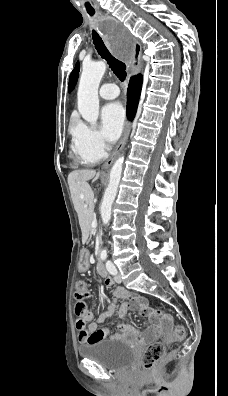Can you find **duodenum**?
I'll list each match as a JSON object with an SVG mask.
<instances>
[{
  "label": "duodenum",
  "mask_w": 228,
  "mask_h": 396,
  "mask_svg": "<svg viewBox=\"0 0 228 396\" xmlns=\"http://www.w3.org/2000/svg\"><path fill=\"white\" fill-rule=\"evenodd\" d=\"M99 253H100V251H99ZM100 256H101V254H100ZM97 270H98V273L102 277H107L108 276L107 269H106V267L103 265V263L100 260H98V263H97Z\"/></svg>",
  "instance_id": "1"
}]
</instances>
